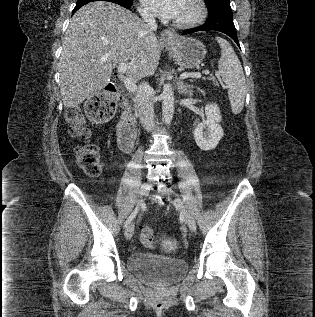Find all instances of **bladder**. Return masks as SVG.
<instances>
[{"instance_id":"bladder-1","label":"bladder","mask_w":315,"mask_h":317,"mask_svg":"<svg viewBox=\"0 0 315 317\" xmlns=\"http://www.w3.org/2000/svg\"><path fill=\"white\" fill-rule=\"evenodd\" d=\"M127 267L142 281L165 286L178 281L188 270L181 258H170L147 252H136L127 258Z\"/></svg>"}]
</instances>
